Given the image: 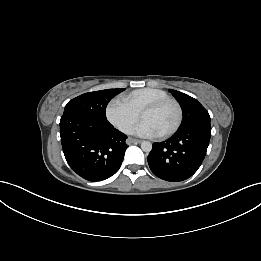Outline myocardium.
I'll list each match as a JSON object with an SVG mask.
<instances>
[{
  "label": "myocardium",
  "mask_w": 261,
  "mask_h": 261,
  "mask_svg": "<svg viewBox=\"0 0 261 261\" xmlns=\"http://www.w3.org/2000/svg\"><path fill=\"white\" fill-rule=\"evenodd\" d=\"M166 104H173L176 107V109H177V120H176L175 124L169 130L160 134L162 137L171 136L181 126V123H182V120H183V111H182L181 105L178 103V101H176L175 99H172V98L161 99V100H158V101H155V102L148 104L141 111V117H142V115L145 112L156 110V109H158V108H160V107H162Z\"/></svg>",
  "instance_id": "myocardium-1"
}]
</instances>
